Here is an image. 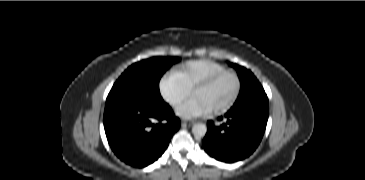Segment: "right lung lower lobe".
Instances as JSON below:
<instances>
[{"mask_svg": "<svg viewBox=\"0 0 365 180\" xmlns=\"http://www.w3.org/2000/svg\"><path fill=\"white\" fill-rule=\"evenodd\" d=\"M179 127L180 120L163 99L130 98L105 106L104 128L112 150L136 167L157 160Z\"/></svg>", "mask_w": 365, "mask_h": 180, "instance_id": "1", "label": "right lung lower lobe"}]
</instances>
